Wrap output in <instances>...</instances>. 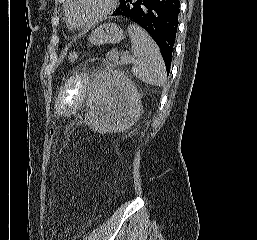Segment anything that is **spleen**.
I'll list each match as a JSON object with an SVG mask.
<instances>
[{"label": "spleen", "mask_w": 257, "mask_h": 240, "mask_svg": "<svg viewBox=\"0 0 257 240\" xmlns=\"http://www.w3.org/2000/svg\"><path fill=\"white\" fill-rule=\"evenodd\" d=\"M132 53L136 60L132 72L141 81L163 86L166 82L165 65L160 50L151 36L137 25H129Z\"/></svg>", "instance_id": "spleen-1"}]
</instances>
